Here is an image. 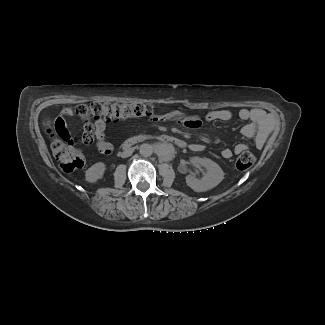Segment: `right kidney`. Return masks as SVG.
<instances>
[{
    "label": "right kidney",
    "mask_w": 325,
    "mask_h": 325,
    "mask_svg": "<svg viewBox=\"0 0 325 325\" xmlns=\"http://www.w3.org/2000/svg\"><path fill=\"white\" fill-rule=\"evenodd\" d=\"M106 165L102 162L95 163L88 170H86L85 178L89 183H95L98 179L103 177Z\"/></svg>",
    "instance_id": "ca27d5eb"
}]
</instances>
